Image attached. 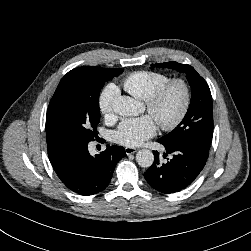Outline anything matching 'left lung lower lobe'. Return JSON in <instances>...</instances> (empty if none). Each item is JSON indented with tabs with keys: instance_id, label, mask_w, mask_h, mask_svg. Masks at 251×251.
Here are the masks:
<instances>
[{
	"instance_id": "obj_1",
	"label": "left lung lower lobe",
	"mask_w": 251,
	"mask_h": 251,
	"mask_svg": "<svg viewBox=\"0 0 251 251\" xmlns=\"http://www.w3.org/2000/svg\"><path fill=\"white\" fill-rule=\"evenodd\" d=\"M162 145L168 154L173 155L172 159L162 163L159 153L153 152L154 163L144 173V177L152 188L161 193L181 191L188 187L202 171L208 159V151L195 143ZM167 153L163 154L164 158Z\"/></svg>"
}]
</instances>
